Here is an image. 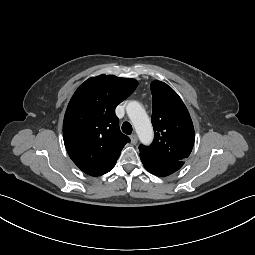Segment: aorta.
<instances>
[{
  "instance_id": "aorta-1",
  "label": "aorta",
  "mask_w": 255,
  "mask_h": 255,
  "mask_svg": "<svg viewBox=\"0 0 255 255\" xmlns=\"http://www.w3.org/2000/svg\"><path fill=\"white\" fill-rule=\"evenodd\" d=\"M126 111L132 121L136 133L143 144H150L153 140V128L144 108L137 102H129Z\"/></svg>"
}]
</instances>
